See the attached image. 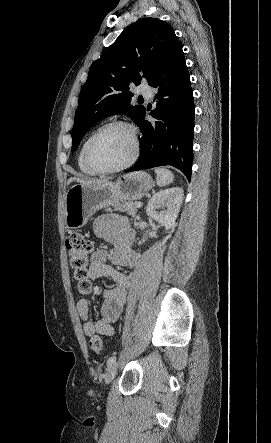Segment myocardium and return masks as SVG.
<instances>
[{
	"mask_svg": "<svg viewBox=\"0 0 271 443\" xmlns=\"http://www.w3.org/2000/svg\"><path fill=\"white\" fill-rule=\"evenodd\" d=\"M112 127H123L127 129L130 133L132 143H133V149L131 152V155L129 158L122 163L119 166L111 167V168H105L97 165L91 158V148L93 143L97 140V138L107 129ZM141 151V141L140 136L138 133V130L134 125H132L129 122L123 121V120H113L108 123H105L104 125L100 126L95 132L90 136L88 141L86 142L84 152H83V158L86 163V165L99 174H111L116 173L122 170H125L126 168L130 167L139 157Z\"/></svg>",
	"mask_w": 271,
	"mask_h": 443,
	"instance_id": "myocardium-1",
	"label": "myocardium"
}]
</instances>
